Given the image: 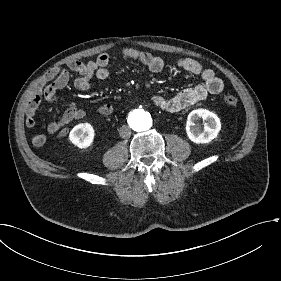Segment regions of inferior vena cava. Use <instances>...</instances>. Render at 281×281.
Masks as SVG:
<instances>
[{
  "instance_id": "inferior-vena-cava-1",
  "label": "inferior vena cava",
  "mask_w": 281,
  "mask_h": 281,
  "mask_svg": "<svg viewBox=\"0 0 281 281\" xmlns=\"http://www.w3.org/2000/svg\"><path fill=\"white\" fill-rule=\"evenodd\" d=\"M119 135L122 138H129L131 136V129H130V127L127 126V125L121 126L120 130H119Z\"/></svg>"
}]
</instances>
